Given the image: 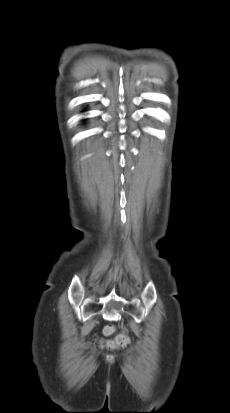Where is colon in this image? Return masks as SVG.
Wrapping results in <instances>:
<instances>
[{
    "instance_id": "colon-1",
    "label": "colon",
    "mask_w": 230,
    "mask_h": 413,
    "mask_svg": "<svg viewBox=\"0 0 230 413\" xmlns=\"http://www.w3.org/2000/svg\"><path fill=\"white\" fill-rule=\"evenodd\" d=\"M114 332V327L108 325L104 329L105 335H111ZM129 344V337L125 333H121L115 337L114 340L108 341L106 346L112 349L125 348Z\"/></svg>"
}]
</instances>
